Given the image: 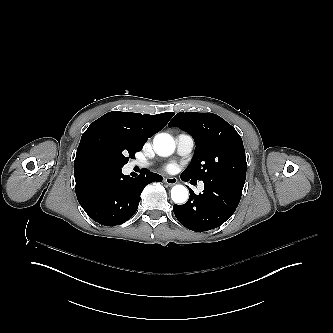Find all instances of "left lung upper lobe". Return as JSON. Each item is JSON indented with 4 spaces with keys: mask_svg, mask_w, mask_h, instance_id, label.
<instances>
[{
    "mask_svg": "<svg viewBox=\"0 0 333 333\" xmlns=\"http://www.w3.org/2000/svg\"><path fill=\"white\" fill-rule=\"evenodd\" d=\"M168 126L188 132L196 143L184 176L204 183L220 178L245 181L247 163L242 139L224 119L213 113H178Z\"/></svg>",
    "mask_w": 333,
    "mask_h": 333,
    "instance_id": "1",
    "label": "left lung upper lobe"
}]
</instances>
